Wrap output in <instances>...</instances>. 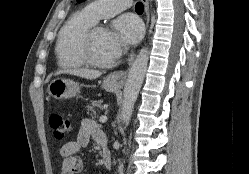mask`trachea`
<instances>
[{
	"mask_svg": "<svg viewBox=\"0 0 249 174\" xmlns=\"http://www.w3.org/2000/svg\"><path fill=\"white\" fill-rule=\"evenodd\" d=\"M135 11L137 13H142L144 11V5L141 2L136 3Z\"/></svg>",
	"mask_w": 249,
	"mask_h": 174,
	"instance_id": "obj_1",
	"label": "trachea"
}]
</instances>
